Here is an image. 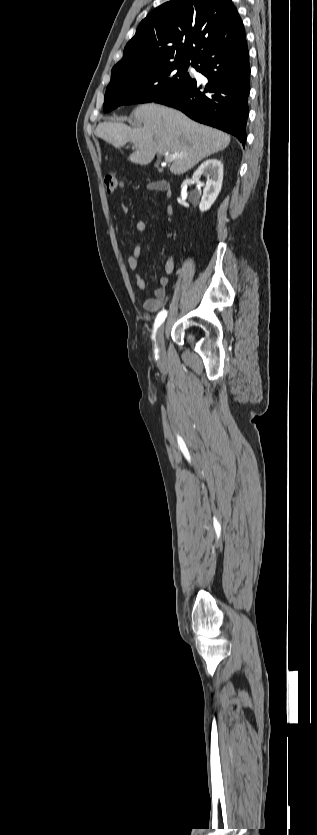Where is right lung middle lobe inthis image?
<instances>
[{"mask_svg": "<svg viewBox=\"0 0 317 835\" xmlns=\"http://www.w3.org/2000/svg\"><path fill=\"white\" fill-rule=\"evenodd\" d=\"M190 62L157 65L140 71L112 72L103 109L109 112L120 105L154 102L173 89L189 83ZM197 67V62H191Z\"/></svg>", "mask_w": 317, "mask_h": 835, "instance_id": "obj_1", "label": "right lung middle lobe"}]
</instances>
